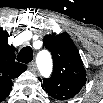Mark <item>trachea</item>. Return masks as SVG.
Here are the masks:
<instances>
[{
    "label": "trachea",
    "mask_w": 103,
    "mask_h": 103,
    "mask_svg": "<svg viewBox=\"0 0 103 103\" xmlns=\"http://www.w3.org/2000/svg\"><path fill=\"white\" fill-rule=\"evenodd\" d=\"M33 59V51L32 48L27 46L21 49L17 56V60L22 63H28Z\"/></svg>",
    "instance_id": "obj_1"
}]
</instances>
